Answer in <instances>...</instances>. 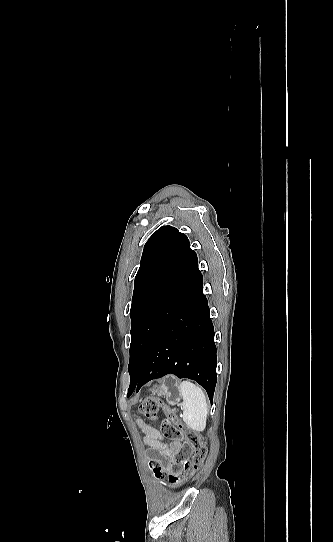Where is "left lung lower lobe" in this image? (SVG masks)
Wrapping results in <instances>:
<instances>
[{"instance_id":"1","label":"left lung lower lobe","mask_w":333,"mask_h":542,"mask_svg":"<svg viewBox=\"0 0 333 542\" xmlns=\"http://www.w3.org/2000/svg\"><path fill=\"white\" fill-rule=\"evenodd\" d=\"M216 351L201 275L156 334L141 370L130 379L128 396L152 379L174 374L197 381L212 401L216 386Z\"/></svg>"}]
</instances>
